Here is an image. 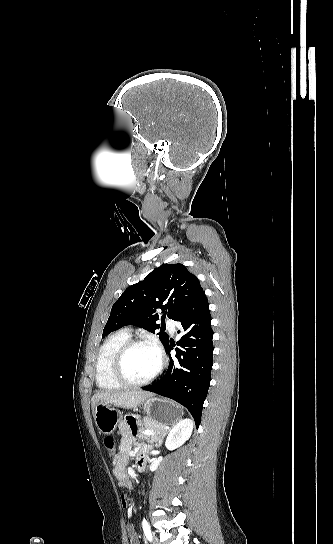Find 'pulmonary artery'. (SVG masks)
Here are the masks:
<instances>
[{
    "mask_svg": "<svg viewBox=\"0 0 333 544\" xmlns=\"http://www.w3.org/2000/svg\"><path fill=\"white\" fill-rule=\"evenodd\" d=\"M167 325L170 329V331L173 333L175 331L176 322L172 319L167 320Z\"/></svg>",
    "mask_w": 333,
    "mask_h": 544,
    "instance_id": "1",
    "label": "pulmonary artery"
}]
</instances>
